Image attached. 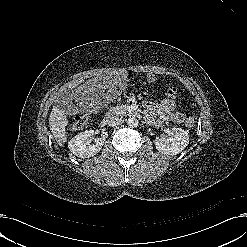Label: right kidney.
<instances>
[{
	"mask_svg": "<svg viewBox=\"0 0 247 247\" xmlns=\"http://www.w3.org/2000/svg\"><path fill=\"white\" fill-rule=\"evenodd\" d=\"M93 130H86L74 136L68 142L69 150L77 157L89 158L96 155L104 145V139L97 138L93 144H90V139L93 137Z\"/></svg>",
	"mask_w": 247,
	"mask_h": 247,
	"instance_id": "ca27d5eb",
	"label": "right kidney"
}]
</instances>
